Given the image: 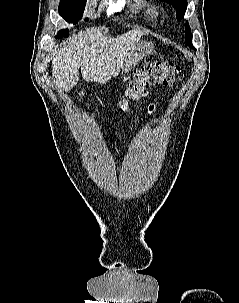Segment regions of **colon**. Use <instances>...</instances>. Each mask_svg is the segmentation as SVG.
I'll list each match as a JSON object with an SVG mask.
<instances>
[{
    "label": "colon",
    "mask_w": 239,
    "mask_h": 303,
    "mask_svg": "<svg viewBox=\"0 0 239 303\" xmlns=\"http://www.w3.org/2000/svg\"><path fill=\"white\" fill-rule=\"evenodd\" d=\"M180 73L181 67L175 62L144 63L135 72L133 80L130 81L122 97V105L127 107L130 103L140 101L146 96L148 89L154 85H174L180 80Z\"/></svg>",
    "instance_id": "1"
}]
</instances>
